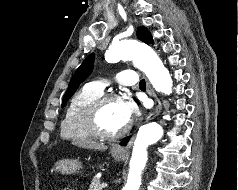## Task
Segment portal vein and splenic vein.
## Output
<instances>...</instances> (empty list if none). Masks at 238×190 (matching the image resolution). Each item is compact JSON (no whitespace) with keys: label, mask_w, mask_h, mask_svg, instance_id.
Returning a JSON list of instances; mask_svg holds the SVG:
<instances>
[{"label":"portal vein and splenic vein","mask_w":238,"mask_h":190,"mask_svg":"<svg viewBox=\"0 0 238 190\" xmlns=\"http://www.w3.org/2000/svg\"><path fill=\"white\" fill-rule=\"evenodd\" d=\"M107 186H108L107 183H102V185H101L102 188H106Z\"/></svg>","instance_id":"18ae733b"}]
</instances>
